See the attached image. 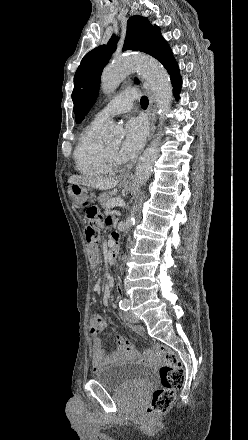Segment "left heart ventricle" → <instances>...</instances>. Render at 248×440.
I'll return each mask as SVG.
<instances>
[{"instance_id": "obj_1", "label": "left heart ventricle", "mask_w": 248, "mask_h": 440, "mask_svg": "<svg viewBox=\"0 0 248 440\" xmlns=\"http://www.w3.org/2000/svg\"><path fill=\"white\" fill-rule=\"evenodd\" d=\"M107 146L117 154V156L121 159L119 155L120 141H113L107 144Z\"/></svg>"}]
</instances>
